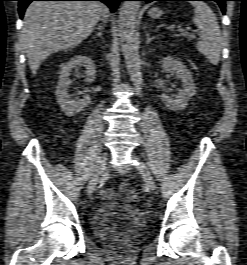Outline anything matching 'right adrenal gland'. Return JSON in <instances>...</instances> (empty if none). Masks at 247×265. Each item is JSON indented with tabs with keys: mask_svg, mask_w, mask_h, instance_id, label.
Masks as SVG:
<instances>
[{
	"mask_svg": "<svg viewBox=\"0 0 247 265\" xmlns=\"http://www.w3.org/2000/svg\"><path fill=\"white\" fill-rule=\"evenodd\" d=\"M97 30H98V32H97L96 36H97V37H100L101 39H103V38H102V32H101V30H102V24H99V25H98Z\"/></svg>",
	"mask_w": 247,
	"mask_h": 265,
	"instance_id": "2a0ac1e0",
	"label": "right adrenal gland"
}]
</instances>
